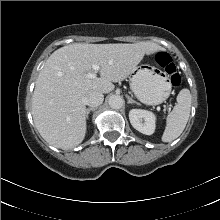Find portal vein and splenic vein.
Instances as JSON below:
<instances>
[{"mask_svg": "<svg viewBox=\"0 0 220 220\" xmlns=\"http://www.w3.org/2000/svg\"><path fill=\"white\" fill-rule=\"evenodd\" d=\"M99 70H100L99 65L94 64V65H93V71L90 72V73H87V74H86V77L89 78V79L96 78V77H97V73L99 72ZM168 109L171 110L170 107H169Z\"/></svg>", "mask_w": 220, "mask_h": 220, "instance_id": "1", "label": "portal vein and splenic vein"}]
</instances>
